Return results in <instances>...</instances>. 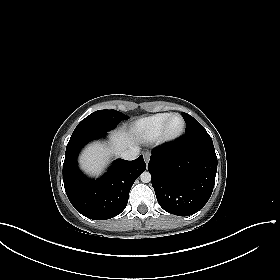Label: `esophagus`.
Listing matches in <instances>:
<instances>
[{
    "label": "esophagus",
    "instance_id": "esophagus-1",
    "mask_svg": "<svg viewBox=\"0 0 280 280\" xmlns=\"http://www.w3.org/2000/svg\"><path fill=\"white\" fill-rule=\"evenodd\" d=\"M144 160H145L146 163L149 162V160H150V153H148V152L144 153Z\"/></svg>",
    "mask_w": 280,
    "mask_h": 280
}]
</instances>
